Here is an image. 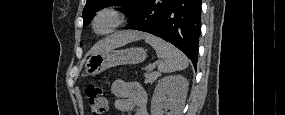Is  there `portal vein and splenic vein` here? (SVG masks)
<instances>
[{
	"mask_svg": "<svg viewBox=\"0 0 285 115\" xmlns=\"http://www.w3.org/2000/svg\"><path fill=\"white\" fill-rule=\"evenodd\" d=\"M161 61L157 60L156 62L152 63L150 66V70H153L158 64H160Z\"/></svg>",
	"mask_w": 285,
	"mask_h": 115,
	"instance_id": "18ae733b",
	"label": "portal vein and splenic vein"
}]
</instances>
